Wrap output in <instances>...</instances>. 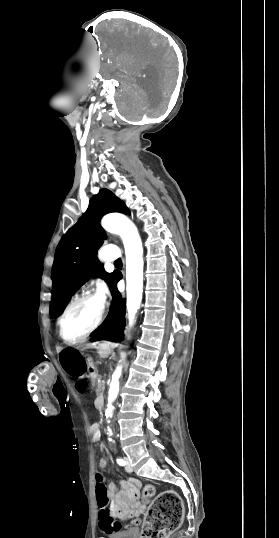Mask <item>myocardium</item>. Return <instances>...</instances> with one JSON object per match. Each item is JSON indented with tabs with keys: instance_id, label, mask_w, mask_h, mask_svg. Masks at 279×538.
I'll return each instance as SVG.
<instances>
[{
	"instance_id": "f54148a6",
	"label": "myocardium",
	"mask_w": 279,
	"mask_h": 538,
	"mask_svg": "<svg viewBox=\"0 0 279 538\" xmlns=\"http://www.w3.org/2000/svg\"><path fill=\"white\" fill-rule=\"evenodd\" d=\"M100 229L104 231L105 227L102 224H100ZM86 299H97V300H99V297L93 290H86V291L82 292L81 294L76 296L71 302L68 303V305L64 308L63 312L61 313V315L59 316V318L57 320L59 336L68 345H75V344H78V343L84 341L91 334H93L99 328L101 323L103 322V319H104V316H105V305L99 300V302H100L99 311H98L97 317H96L94 323L91 325V327L85 333H83L81 336H79L78 338H76L73 341H69L64 337V335H63V323H64V320H65L66 316L68 315L70 310L76 304H78L79 302H81L83 300H86Z\"/></svg>"
}]
</instances>
